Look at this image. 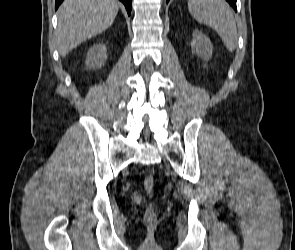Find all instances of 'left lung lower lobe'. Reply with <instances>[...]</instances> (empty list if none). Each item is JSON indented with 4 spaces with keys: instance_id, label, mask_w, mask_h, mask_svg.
<instances>
[{
    "instance_id": "0a47b994",
    "label": "left lung lower lobe",
    "mask_w": 295,
    "mask_h": 250,
    "mask_svg": "<svg viewBox=\"0 0 295 250\" xmlns=\"http://www.w3.org/2000/svg\"><path fill=\"white\" fill-rule=\"evenodd\" d=\"M169 0H167V2H168ZM227 2H229L230 3V5L235 9V11L237 10V8H236V0H227Z\"/></svg>"
}]
</instances>
